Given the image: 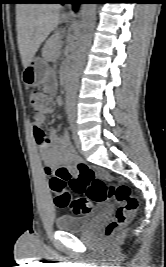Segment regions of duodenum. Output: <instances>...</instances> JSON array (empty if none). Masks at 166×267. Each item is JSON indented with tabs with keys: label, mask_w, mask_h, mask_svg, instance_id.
<instances>
[{
	"label": "duodenum",
	"mask_w": 166,
	"mask_h": 267,
	"mask_svg": "<svg viewBox=\"0 0 166 267\" xmlns=\"http://www.w3.org/2000/svg\"><path fill=\"white\" fill-rule=\"evenodd\" d=\"M63 81H64V86L65 87H68L69 83H70V75L67 73L65 74L64 78H63Z\"/></svg>",
	"instance_id": "1"
}]
</instances>
